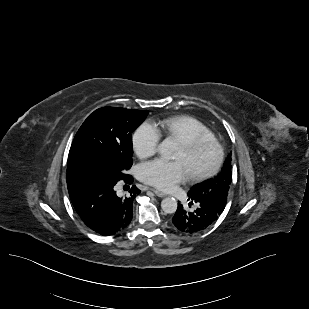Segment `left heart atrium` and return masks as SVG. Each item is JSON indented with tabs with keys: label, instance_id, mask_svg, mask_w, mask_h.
<instances>
[{
	"label": "left heart atrium",
	"instance_id": "1",
	"mask_svg": "<svg viewBox=\"0 0 309 309\" xmlns=\"http://www.w3.org/2000/svg\"><path fill=\"white\" fill-rule=\"evenodd\" d=\"M139 179L163 191H171L190 177V172L181 160L158 158L138 166Z\"/></svg>",
	"mask_w": 309,
	"mask_h": 309
}]
</instances>
